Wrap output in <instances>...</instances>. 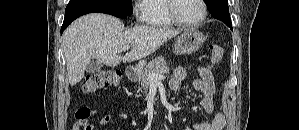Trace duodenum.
Masks as SVG:
<instances>
[{
  "instance_id": "duodenum-1",
  "label": "duodenum",
  "mask_w": 299,
  "mask_h": 130,
  "mask_svg": "<svg viewBox=\"0 0 299 130\" xmlns=\"http://www.w3.org/2000/svg\"><path fill=\"white\" fill-rule=\"evenodd\" d=\"M125 73H126V76L129 80H134L137 76L135 69L132 68V67H128L126 69Z\"/></svg>"
}]
</instances>
